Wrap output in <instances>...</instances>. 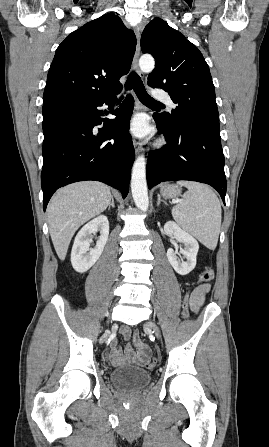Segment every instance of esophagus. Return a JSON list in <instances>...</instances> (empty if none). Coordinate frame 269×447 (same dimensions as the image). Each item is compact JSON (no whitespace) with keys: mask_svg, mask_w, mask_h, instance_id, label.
Wrapping results in <instances>:
<instances>
[{"mask_svg":"<svg viewBox=\"0 0 269 447\" xmlns=\"http://www.w3.org/2000/svg\"><path fill=\"white\" fill-rule=\"evenodd\" d=\"M134 32L136 35L137 43H136V50H135V54H134V58H133L132 68L138 75H140L141 73H140V69L138 66V61H139L140 50H141V46H140L141 34H140V30L138 27H134ZM138 109L139 108L137 107V110ZM133 144H134L136 153H140L143 151V148L139 145V143L135 139H133Z\"/></svg>","mask_w":269,"mask_h":447,"instance_id":"esophagus-1","label":"esophagus"}]
</instances>
